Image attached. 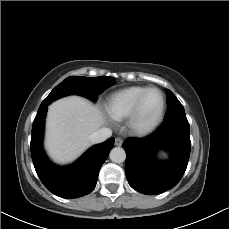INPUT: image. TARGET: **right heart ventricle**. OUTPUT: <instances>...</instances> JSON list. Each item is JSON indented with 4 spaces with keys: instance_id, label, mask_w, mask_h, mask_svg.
<instances>
[{
    "instance_id": "right-heart-ventricle-1",
    "label": "right heart ventricle",
    "mask_w": 229,
    "mask_h": 229,
    "mask_svg": "<svg viewBox=\"0 0 229 229\" xmlns=\"http://www.w3.org/2000/svg\"><path fill=\"white\" fill-rule=\"evenodd\" d=\"M149 87L130 86L109 95L104 103L106 113L116 121L127 118L137 98Z\"/></svg>"
}]
</instances>
